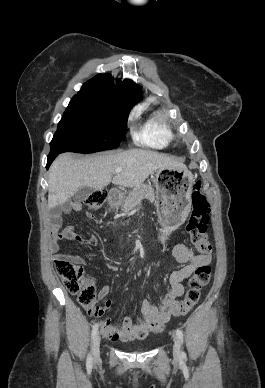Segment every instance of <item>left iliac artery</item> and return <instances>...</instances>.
<instances>
[{
  "mask_svg": "<svg viewBox=\"0 0 265 388\" xmlns=\"http://www.w3.org/2000/svg\"><path fill=\"white\" fill-rule=\"evenodd\" d=\"M176 335H177V337L179 338V340H180L181 342H183V332H182L181 329H177V330H176ZM182 356H185V353H184V352H182Z\"/></svg>",
  "mask_w": 265,
  "mask_h": 388,
  "instance_id": "44dca946",
  "label": "left iliac artery"
}]
</instances>
